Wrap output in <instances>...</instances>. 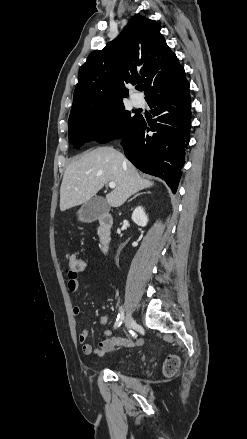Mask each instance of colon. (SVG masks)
<instances>
[{
  "instance_id": "colon-1",
  "label": "colon",
  "mask_w": 247,
  "mask_h": 439,
  "mask_svg": "<svg viewBox=\"0 0 247 439\" xmlns=\"http://www.w3.org/2000/svg\"><path fill=\"white\" fill-rule=\"evenodd\" d=\"M69 270L73 272H82L86 268V262L82 258L76 257L74 255H68ZM179 366V360L175 356L168 357L164 364V373L167 377L173 376Z\"/></svg>"
}]
</instances>
